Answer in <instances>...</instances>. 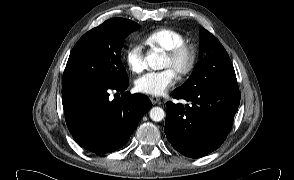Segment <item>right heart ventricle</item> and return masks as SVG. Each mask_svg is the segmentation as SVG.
Masks as SVG:
<instances>
[{
    "instance_id": "e07e8e85",
    "label": "right heart ventricle",
    "mask_w": 294,
    "mask_h": 180,
    "mask_svg": "<svg viewBox=\"0 0 294 180\" xmlns=\"http://www.w3.org/2000/svg\"><path fill=\"white\" fill-rule=\"evenodd\" d=\"M140 40L147 46L158 47L165 52L177 45L185 43L183 34L171 28L153 30L142 35Z\"/></svg>"
}]
</instances>
